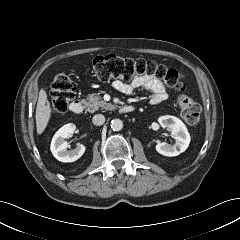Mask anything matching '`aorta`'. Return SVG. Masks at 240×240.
Listing matches in <instances>:
<instances>
[{
  "label": "aorta",
  "mask_w": 240,
  "mask_h": 240,
  "mask_svg": "<svg viewBox=\"0 0 240 240\" xmlns=\"http://www.w3.org/2000/svg\"><path fill=\"white\" fill-rule=\"evenodd\" d=\"M123 128V122L120 119H113L111 121V129L113 131H120Z\"/></svg>",
  "instance_id": "1"
}]
</instances>
